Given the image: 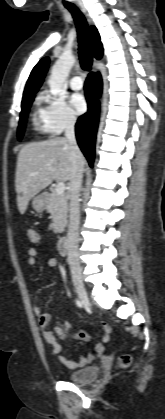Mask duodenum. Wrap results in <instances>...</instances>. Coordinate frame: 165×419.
<instances>
[{"mask_svg":"<svg viewBox=\"0 0 165 419\" xmlns=\"http://www.w3.org/2000/svg\"><path fill=\"white\" fill-rule=\"evenodd\" d=\"M57 249L61 256H65L67 254V238L65 236L59 238Z\"/></svg>","mask_w":165,"mask_h":419,"instance_id":"obj_1","label":"duodenum"}]
</instances>
